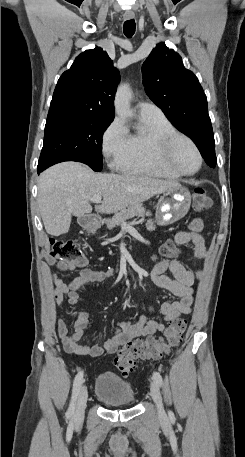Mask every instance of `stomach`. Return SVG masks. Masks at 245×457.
I'll return each instance as SVG.
<instances>
[{"mask_svg":"<svg viewBox=\"0 0 245 457\" xmlns=\"http://www.w3.org/2000/svg\"><path fill=\"white\" fill-rule=\"evenodd\" d=\"M191 204V194L185 186H172L162 192L155 212L156 222L158 224H172L180 220L188 212ZM79 224L86 229L88 233H95L99 229V222L91 220L89 216H79Z\"/></svg>","mask_w":245,"mask_h":457,"instance_id":"stomach-1","label":"stomach"}]
</instances>
